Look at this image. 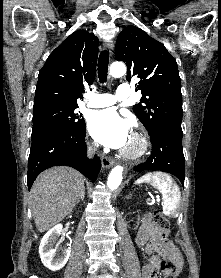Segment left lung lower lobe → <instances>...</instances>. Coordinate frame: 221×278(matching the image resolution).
<instances>
[{
	"label": "left lung lower lobe",
	"mask_w": 221,
	"mask_h": 278,
	"mask_svg": "<svg viewBox=\"0 0 221 278\" xmlns=\"http://www.w3.org/2000/svg\"><path fill=\"white\" fill-rule=\"evenodd\" d=\"M152 143L151 156L134 167L135 171L159 170L175 175L184 186L185 158L182 149V129L161 126L149 134Z\"/></svg>",
	"instance_id": "1"
}]
</instances>
